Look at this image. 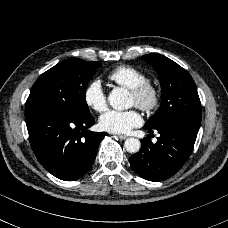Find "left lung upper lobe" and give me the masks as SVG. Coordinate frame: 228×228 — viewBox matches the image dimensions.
Listing matches in <instances>:
<instances>
[{"instance_id": "left-lung-upper-lobe-1", "label": "left lung upper lobe", "mask_w": 228, "mask_h": 228, "mask_svg": "<svg viewBox=\"0 0 228 228\" xmlns=\"http://www.w3.org/2000/svg\"><path fill=\"white\" fill-rule=\"evenodd\" d=\"M151 63L159 75L162 87L160 108L146 122V129H155L172 120L201 123V103L190 74L169 58L158 53L141 57Z\"/></svg>"}]
</instances>
